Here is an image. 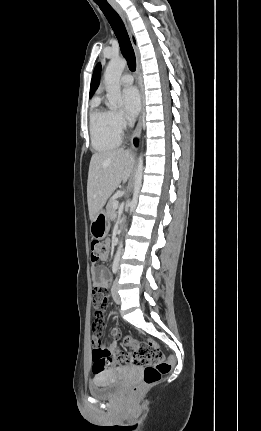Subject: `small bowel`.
I'll return each mask as SVG.
<instances>
[{
	"label": "small bowel",
	"mask_w": 261,
	"mask_h": 431,
	"mask_svg": "<svg viewBox=\"0 0 261 431\" xmlns=\"http://www.w3.org/2000/svg\"><path fill=\"white\" fill-rule=\"evenodd\" d=\"M107 259V255L103 258ZM93 274V290L91 291V300L93 303V307L95 308L94 311V319L92 320L93 323V329H92V345L97 349H106L110 354H117L118 353V345L116 341H113L108 348H102L100 341L102 340V334L104 330V324L106 317L105 315L108 313L107 310V300L108 295L106 294V289L111 281V276L108 271V269L104 266H95L92 270ZM111 334L114 337H117L119 335V329L118 328H112ZM110 360H115L116 366L123 360V357L118 358H111Z\"/></svg>",
	"instance_id": "1"
}]
</instances>
